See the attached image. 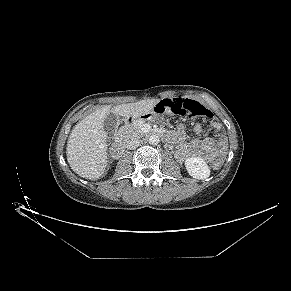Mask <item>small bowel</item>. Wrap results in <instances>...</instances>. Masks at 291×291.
Masks as SVG:
<instances>
[{
  "label": "small bowel",
  "mask_w": 291,
  "mask_h": 291,
  "mask_svg": "<svg viewBox=\"0 0 291 291\" xmlns=\"http://www.w3.org/2000/svg\"><path fill=\"white\" fill-rule=\"evenodd\" d=\"M211 127L219 131L221 125L218 122L210 123ZM203 125L197 123L194 126V131L196 133H201ZM185 132V126L183 123H178L177 129L172 135V140L176 143H179V146L176 151V155L179 159L184 160L190 155H198L204 158L206 161L212 162L217 159H220L219 151L215 147V140L212 138H204L200 140H193L188 143L183 142Z\"/></svg>",
  "instance_id": "1"
}]
</instances>
